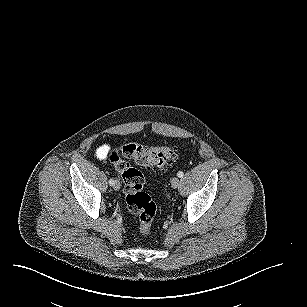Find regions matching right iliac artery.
Segmentation results:
<instances>
[{"label":"right iliac artery","instance_id":"1","mask_svg":"<svg viewBox=\"0 0 307 307\" xmlns=\"http://www.w3.org/2000/svg\"><path fill=\"white\" fill-rule=\"evenodd\" d=\"M109 184H110L111 186H113V185H114V180H113V179H110V180H109Z\"/></svg>","mask_w":307,"mask_h":307}]
</instances>
